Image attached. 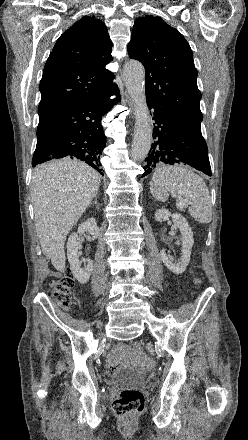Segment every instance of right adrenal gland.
I'll use <instances>...</instances> for the list:
<instances>
[{"instance_id":"right-adrenal-gland-1","label":"right adrenal gland","mask_w":248,"mask_h":440,"mask_svg":"<svg viewBox=\"0 0 248 440\" xmlns=\"http://www.w3.org/2000/svg\"><path fill=\"white\" fill-rule=\"evenodd\" d=\"M91 204H94L96 206L97 210H99V205L97 202V194L95 195L94 200L91 202Z\"/></svg>"}]
</instances>
